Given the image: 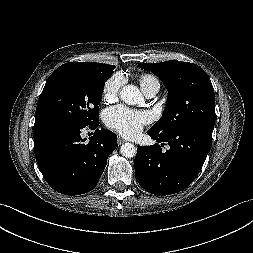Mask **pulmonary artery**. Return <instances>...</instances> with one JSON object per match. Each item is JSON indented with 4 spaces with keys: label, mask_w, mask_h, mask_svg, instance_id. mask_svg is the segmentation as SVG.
Listing matches in <instances>:
<instances>
[{
    "label": "pulmonary artery",
    "mask_w": 253,
    "mask_h": 253,
    "mask_svg": "<svg viewBox=\"0 0 253 253\" xmlns=\"http://www.w3.org/2000/svg\"><path fill=\"white\" fill-rule=\"evenodd\" d=\"M159 89L157 88H152L148 91L145 92V95L149 98L153 97L157 92H158Z\"/></svg>",
    "instance_id": "obj_1"
}]
</instances>
